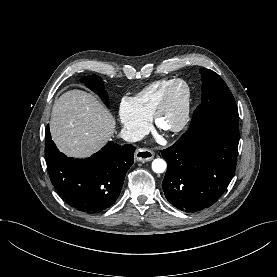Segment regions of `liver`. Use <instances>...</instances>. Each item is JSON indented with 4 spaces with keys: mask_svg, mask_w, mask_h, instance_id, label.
<instances>
[{
    "mask_svg": "<svg viewBox=\"0 0 277 277\" xmlns=\"http://www.w3.org/2000/svg\"><path fill=\"white\" fill-rule=\"evenodd\" d=\"M50 131L60 151L75 158H85L113 136L115 120L94 95L70 90L54 103Z\"/></svg>",
    "mask_w": 277,
    "mask_h": 277,
    "instance_id": "1",
    "label": "liver"
}]
</instances>
